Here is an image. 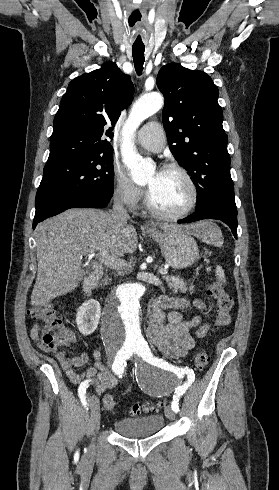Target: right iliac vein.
<instances>
[{"label": "right iliac vein", "mask_w": 279, "mask_h": 490, "mask_svg": "<svg viewBox=\"0 0 279 490\" xmlns=\"http://www.w3.org/2000/svg\"><path fill=\"white\" fill-rule=\"evenodd\" d=\"M89 404H90V411H91V416H90L91 426L95 431H98L100 426V421H101L100 405H99L98 398L94 395L91 396L89 398ZM94 451H95L94 446L91 445L90 453Z\"/></svg>", "instance_id": "right-iliac-vein-1"}]
</instances>
